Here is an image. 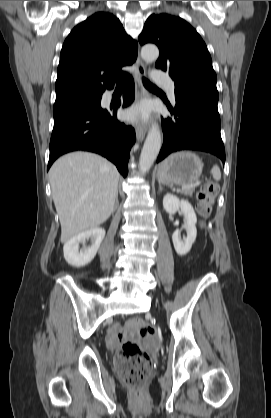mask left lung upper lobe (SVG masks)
Segmentation results:
<instances>
[{"instance_id":"1","label":"left lung upper lobe","mask_w":271,"mask_h":418,"mask_svg":"<svg viewBox=\"0 0 271 418\" xmlns=\"http://www.w3.org/2000/svg\"><path fill=\"white\" fill-rule=\"evenodd\" d=\"M141 45L155 43L160 51L156 68L169 72L175 88L219 98L211 56L196 30L180 17L151 15L139 36Z\"/></svg>"}]
</instances>
